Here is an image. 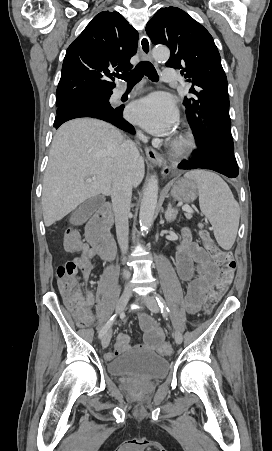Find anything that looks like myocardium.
Returning a JSON list of instances; mask_svg holds the SVG:
<instances>
[{
  "label": "myocardium",
  "instance_id": "1",
  "mask_svg": "<svg viewBox=\"0 0 272 451\" xmlns=\"http://www.w3.org/2000/svg\"><path fill=\"white\" fill-rule=\"evenodd\" d=\"M188 139H189V135L187 133H185L184 136H183V140L187 141Z\"/></svg>",
  "mask_w": 272,
  "mask_h": 451
}]
</instances>
